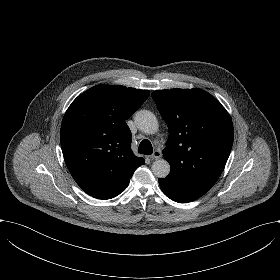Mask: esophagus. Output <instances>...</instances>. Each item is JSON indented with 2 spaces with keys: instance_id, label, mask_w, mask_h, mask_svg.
<instances>
[{
  "instance_id": "obj_1",
  "label": "esophagus",
  "mask_w": 280,
  "mask_h": 280,
  "mask_svg": "<svg viewBox=\"0 0 280 280\" xmlns=\"http://www.w3.org/2000/svg\"><path fill=\"white\" fill-rule=\"evenodd\" d=\"M162 153L159 149L155 150L152 155L150 156V158L152 159H159L161 157Z\"/></svg>"
}]
</instances>
